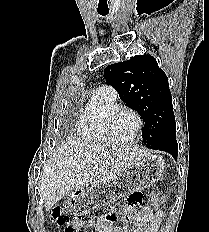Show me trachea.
I'll return each instance as SVG.
<instances>
[{
  "mask_svg": "<svg viewBox=\"0 0 209 232\" xmlns=\"http://www.w3.org/2000/svg\"><path fill=\"white\" fill-rule=\"evenodd\" d=\"M98 13L102 16H106L108 14V12H98Z\"/></svg>",
  "mask_w": 209,
  "mask_h": 232,
  "instance_id": "3493384b",
  "label": "trachea"
}]
</instances>
